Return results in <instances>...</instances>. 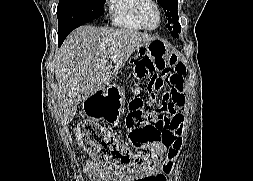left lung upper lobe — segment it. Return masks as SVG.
<instances>
[{
  "mask_svg": "<svg viewBox=\"0 0 253 181\" xmlns=\"http://www.w3.org/2000/svg\"><path fill=\"white\" fill-rule=\"evenodd\" d=\"M164 9L166 18L168 19L167 27L171 31L173 37H179L181 31L180 23L178 22V0H157Z\"/></svg>",
  "mask_w": 253,
  "mask_h": 181,
  "instance_id": "1",
  "label": "left lung upper lobe"
}]
</instances>
